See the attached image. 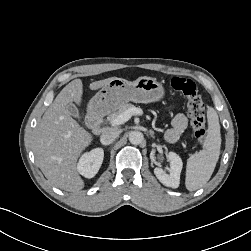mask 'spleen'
I'll return each mask as SVG.
<instances>
[{"mask_svg":"<svg viewBox=\"0 0 251 251\" xmlns=\"http://www.w3.org/2000/svg\"><path fill=\"white\" fill-rule=\"evenodd\" d=\"M207 119L208 129L203 149L192 154L187 161L185 185L189 191H195L209 181L219 159L221 134L215 109L208 108Z\"/></svg>","mask_w":251,"mask_h":251,"instance_id":"1","label":"spleen"}]
</instances>
